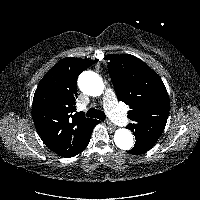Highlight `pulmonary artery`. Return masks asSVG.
I'll return each mask as SVG.
<instances>
[{"label":"pulmonary artery","instance_id":"obj_1","mask_svg":"<svg viewBox=\"0 0 200 200\" xmlns=\"http://www.w3.org/2000/svg\"><path fill=\"white\" fill-rule=\"evenodd\" d=\"M103 103L108 110L109 116L117 124L124 126L128 123V118L119 108L115 93L112 90H106V92L103 95Z\"/></svg>","mask_w":200,"mask_h":200}]
</instances>
